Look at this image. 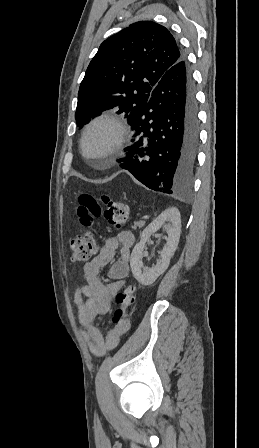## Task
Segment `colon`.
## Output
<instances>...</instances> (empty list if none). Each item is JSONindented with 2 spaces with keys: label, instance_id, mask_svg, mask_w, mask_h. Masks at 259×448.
Returning <instances> with one entry per match:
<instances>
[{
  "label": "colon",
  "instance_id": "5ec220e1",
  "mask_svg": "<svg viewBox=\"0 0 259 448\" xmlns=\"http://www.w3.org/2000/svg\"><path fill=\"white\" fill-rule=\"evenodd\" d=\"M77 215L83 229V234L73 239L70 244L72 259L81 262L89 259L96 251V239L92 231L94 219L103 217L115 227H121L130 218L127 204L102 195L100 200L90 193H81L78 197ZM117 308L114 312L115 325L127 319L129 309L135 303V289L127 286L116 294Z\"/></svg>",
  "mask_w": 259,
  "mask_h": 448
}]
</instances>
